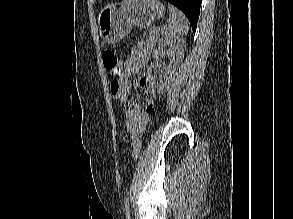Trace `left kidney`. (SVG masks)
Listing matches in <instances>:
<instances>
[{"instance_id":"left-kidney-1","label":"left kidney","mask_w":293,"mask_h":219,"mask_svg":"<svg viewBox=\"0 0 293 219\" xmlns=\"http://www.w3.org/2000/svg\"><path fill=\"white\" fill-rule=\"evenodd\" d=\"M170 47L167 55L169 57V63L165 67V72L163 79L157 80L155 76L152 75L154 65H150L147 68V80L151 89L158 93L163 94L170 87L175 74L177 73V68L180 64V61L183 58L185 43L181 40H176L168 37L160 39L158 45L159 54L164 52L165 47Z\"/></svg>"}]
</instances>
